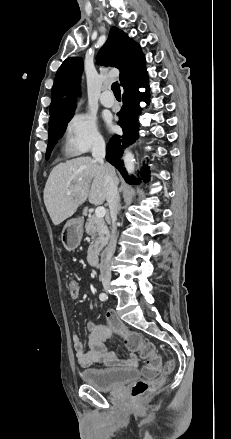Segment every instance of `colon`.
<instances>
[{
	"instance_id": "obj_1",
	"label": "colon",
	"mask_w": 231,
	"mask_h": 439,
	"mask_svg": "<svg viewBox=\"0 0 231 439\" xmlns=\"http://www.w3.org/2000/svg\"><path fill=\"white\" fill-rule=\"evenodd\" d=\"M66 289L71 297L74 298L78 295L79 287L75 280L69 279L66 282ZM123 338L130 350L139 351L141 356L145 358L142 367L143 377L134 382L130 390L131 396L134 399H139L163 382L164 376L173 370L174 360L169 359L163 364L153 345L144 342L137 333L127 331L124 333Z\"/></svg>"
}]
</instances>
